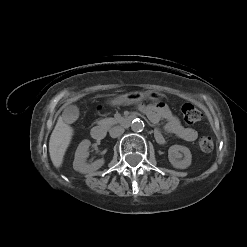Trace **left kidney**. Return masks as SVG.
<instances>
[{"label":"left kidney","instance_id":"left-kidney-1","mask_svg":"<svg viewBox=\"0 0 247 247\" xmlns=\"http://www.w3.org/2000/svg\"><path fill=\"white\" fill-rule=\"evenodd\" d=\"M184 156L183 159H181ZM171 165L177 169H186L191 165L192 155L190 150L181 145H172L168 150Z\"/></svg>","mask_w":247,"mask_h":247}]
</instances>
